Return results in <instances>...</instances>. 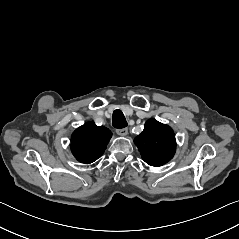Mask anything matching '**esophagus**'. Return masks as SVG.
<instances>
[{"mask_svg": "<svg viewBox=\"0 0 239 239\" xmlns=\"http://www.w3.org/2000/svg\"><path fill=\"white\" fill-rule=\"evenodd\" d=\"M116 133L120 136H126L128 134L127 128L116 129Z\"/></svg>", "mask_w": 239, "mask_h": 239, "instance_id": "esophagus-1", "label": "esophagus"}]
</instances>
